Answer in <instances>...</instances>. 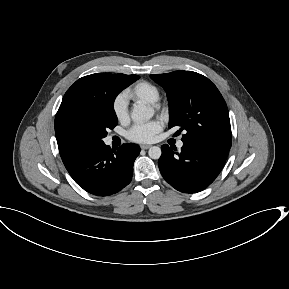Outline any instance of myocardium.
<instances>
[{"label":"myocardium","mask_w":289,"mask_h":289,"mask_svg":"<svg viewBox=\"0 0 289 289\" xmlns=\"http://www.w3.org/2000/svg\"><path fill=\"white\" fill-rule=\"evenodd\" d=\"M153 107L156 108V109H158V108L160 107V105L157 104V103H154V104H153Z\"/></svg>","instance_id":"myocardium-1"}]
</instances>
